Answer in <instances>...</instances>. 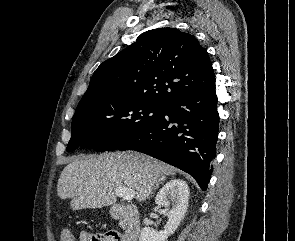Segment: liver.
Here are the masks:
<instances>
[{"label":"liver","instance_id":"obj_1","mask_svg":"<svg viewBox=\"0 0 295 241\" xmlns=\"http://www.w3.org/2000/svg\"><path fill=\"white\" fill-rule=\"evenodd\" d=\"M176 169L137 152H116L73 158L63 169L57 184L61 199H71L72 210L101 208L116 203L115 190L125 187L135 199L145 201L163 175Z\"/></svg>","mask_w":295,"mask_h":241}]
</instances>
